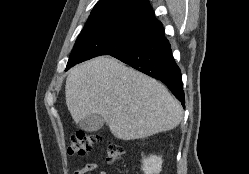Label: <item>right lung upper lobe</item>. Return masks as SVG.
<instances>
[{
  "label": "right lung upper lobe",
  "instance_id": "cb5924a9",
  "mask_svg": "<svg viewBox=\"0 0 249 174\" xmlns=\"http://www.w3.org/2000/svg\"><path fill=\"white\" fill-rule=\"evenodd\" d=\"M158 23L148 0H99L83 30H99L118 24L153 27Z\"/></svg>",
  "mask_w": 249,
  "mask_h": 174
}]
</instances>
